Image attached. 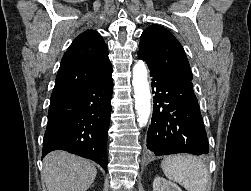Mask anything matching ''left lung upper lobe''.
Instances as JSON below:
<instances>
[{
	"label": "left lung upper lobe",
	"mask_w": 251,
	"mask_h": 191,
	"mask_svg": "<svg viewBox=\"0 0 251 191\" xmlns=\"http://www.w3.org/2000/svg\"><path fill=\"white\" fill-rule=\"evenodd\" d=\"M138 57L173 78L192 81V72L182 45L159 25H151L142 33Z\"/></svg>",
	"instance_id": "left-lung-upper-lobe-1"
}]
</instances>
